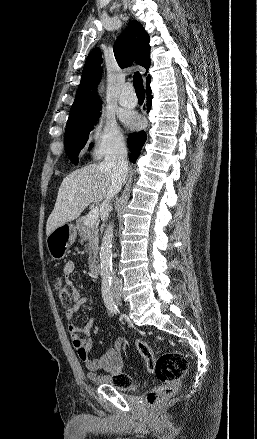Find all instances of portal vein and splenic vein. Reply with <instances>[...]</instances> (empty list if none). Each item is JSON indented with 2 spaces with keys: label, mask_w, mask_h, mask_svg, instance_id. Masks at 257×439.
<instances>
[{
  "label": "portal vein and splenic vein",
  "mask_w": 257,
  "mask_h": 439,
  "mask_svg": "<svg viewBox=\"0 0 257 439\" xmlns=\"http://www.w3.org/2000/svg\"><path fill=\"white\" fill-rule=\"evenodd\" d=\"M98 215H99V208L98 207L92 208L86 218L85 224L90 225L96 222L98 219Z\"/></svg>",
  "instance_id": "1"
}]
</instances>
